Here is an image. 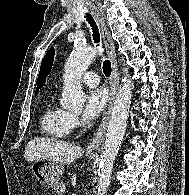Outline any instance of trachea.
Here are the masks:
<instances>
[{"instance_id":"1","label":"trachea","mask_w":189,"mask_h":195,"mask_svg":"<svg viewBox=\"0 0 189 195\" xmlns=\"http://www.w3.org/2000/svg\"><path fill=\"white\" fill-rule=\"evenodd\" d=\"M88 21V23L90 24L91 28H92V36H93V40L94 43L97 44V46L100 43V34H99V30H98V26L96 25V22L94 21L93 17L91 16V14L87 13L85 16ZM111 62L109 60H105L103 62V72L104 74L109 77L111 75Z\"/></svg>"}]
</instances>
